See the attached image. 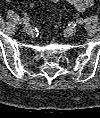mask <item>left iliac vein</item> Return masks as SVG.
Returning a JSON list of instances; mask_svg holds the SVG:
<instances>
[{"label": "left iliac vein", "mask_w": 100, "mask_h": 118, "mask_svg": "<svg viewBox=\"0 0 100 118\" xmlns=\"http://www.w3.org/2000/svg\"><path fill=\"white\" fill-rule=\"evenodd\" d=\"M76 28L70 27L65 30V34L68 36L74 35L76 33Z\"/></svg>", "instance_id": "left-iliac-vein-1"}]
</instances>
